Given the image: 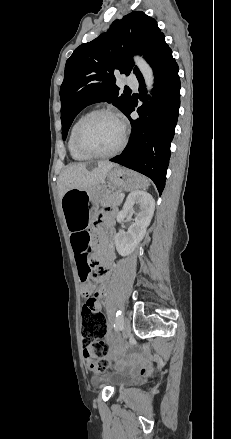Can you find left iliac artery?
<instances>
[{
	"label": "left iliac artery",
	"instance_id": "1",
	"mask_svg": "<svg viewBox=\"0 0 231 439\" xmlns=\"http://www.w3.org/2000/svg\"><path fill=\"white\" fill-rule=\"evenodd\" d=\"M122 323H123V318L121 315V310H117L115 324H114L115 331H118L122 328Z\"/></svg>",
	"mask_w": 231,
	"mask_h": 439
}]
</instances>
